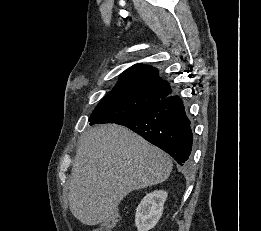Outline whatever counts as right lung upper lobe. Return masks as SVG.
<instances>
[{
	"instance_id": "cb5924a9",
	"label": "right lung upper lobe",
	"mask_w": 261,
	"mask_h": 231,
	"mask_svg": "<svg viewBox=\"0 0 261 231\" xmlns=\"http://www.w3.org/2000/svg\"><path fill=\"white\" fill-rule=\"evenodd\" d=\"M135 87L164 99L171 95L172 90L167 81H163L158 70L144 64H135L125 70L114 89Z\"/></svg>"
}]
</instances>
